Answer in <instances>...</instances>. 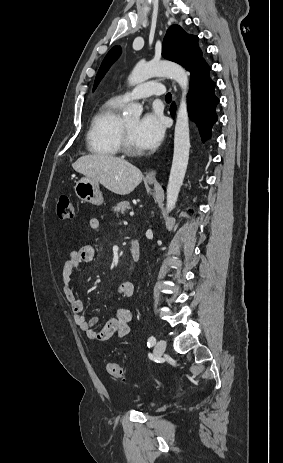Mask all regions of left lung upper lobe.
Returning <instances> with one entry per match:
<instances>
[{"label":"left lung upper lobe","instance_id":"obj_1","mask_svg":"<svg viewBox=\"0 0 283 463\" xmlns=\"http://www.w3.org/2000/svg\"><path fill=\"white\" fill-rule=\"evenodd\" d=\"M197 42V36L188 35L180 26L172 25L168 28L163 40L162 56L189 70L192 65L203 60ZM119 55L120 48L117 46L108 52L96 75L93 90Z\"/></svg>","mask_w":283,"mask_h":463}]
</instances>
